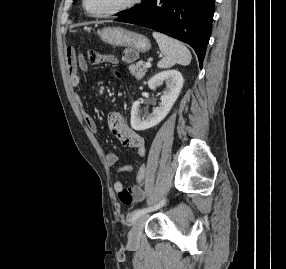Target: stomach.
Here are the masks:
<instances>
[{
    "label": "stomach",
    "instance_id": "obj_1",
    "mask_svg": "<svg viewBox=\"0 0 286 269\" xmlns=\"http://www.w3.org/2000/svg\"><path fill=\"white\" fill-rule=\"evenodd\" d=\"M98 35L102 41L113 46H125L138 49L139 52H146L151 48L150 41L144 35L119 27L103 28Z\"/></svg>",
    "mask_w": 286,
    "mask_h": 269
}]
</instances>
